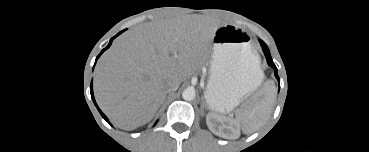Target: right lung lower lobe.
Here are the masks:
<instances>
[{
    "label": "right lung lower lobe",
    "instance_id": "1",
    "mask_svg": "<svg viewBox=\"0 0 369 152\" xmlns=\"http://www.w3.org/2000/svg\"><path fill=\"white\" fill-rule=\"evenodd\" d=\"M121 33V32H120ZM119 33V34H120ZM118 34V35H119ZM116 37V36H115ZM115 37H113L111 40H110V43H109V45L106 47V48H104L103 50H102V52L99 54V56L107 49V48H109L110 47V45H111V43H112V41H113V39L115 38ZM98 56V57H99ZM98 57H97V59H98ZM96 59V60H97ZM90 92H91V96H92V99H93V101H94V103H95V105H96V107L98 108V106H97V104H96V102H95V99H94V97H93V90H92V83H91V86H90ZM98 110H99V112L101 113V115H102V117L106 120V121H108V119H107V117L101 112V110L98 108Z\"/></svg>",
    "mask_w": 369,
    "mask_h": 152
}]
</instances>
